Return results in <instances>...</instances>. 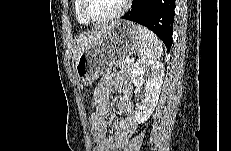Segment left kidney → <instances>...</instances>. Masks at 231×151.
Returning a JSON list of instances; mask_svg holds the SVG:
<instances>
[{
    "label": "left kidney",
    "instance_id": "obj_1",
    "mask_svg": "<svg viewBox=\"0 0 231 151\" xmlns=\"http://www.w3.org/2000/svg\"><path fill=\"white\" fill-rule=\"evenodd\" d=\"M163 77L164 66L160 61L140 59L135 63L132 71L133 84L137 87L145 85V98L135 112V119L139 124L147 121L155 110Z\"/></svg>",
    "mask_w": 231,
    "mask_h": 151
}]
</instances>
